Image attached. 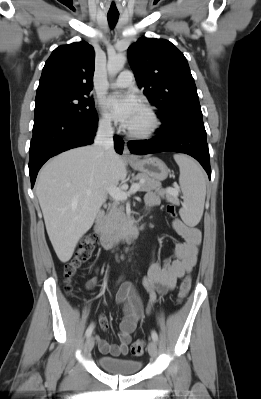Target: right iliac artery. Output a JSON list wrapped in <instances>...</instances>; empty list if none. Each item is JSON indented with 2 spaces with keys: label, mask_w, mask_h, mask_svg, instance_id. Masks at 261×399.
Masks as SVG:
<instances>
[{
  "label": "right iliac artery",
  "mask_w": 261,
  "mask_h": 399,
  "mask_svg": "<svg viewBox=\"0 0 261 399\" xmlns=\"http://www.w3.org/2000/svg\"><path fill=\"white\" fill-rule=\"evenodd\" d=\"M93 329H94V325H93V324H91V325L87 328V330H86V332H85V336H86L87 338L91 336V334H92V332H93Z\"/></svg>",
  "instance_id": "82829eb1"
}]
</instances>
